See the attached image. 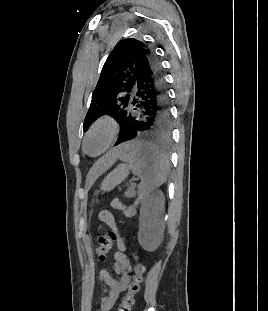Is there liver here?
I'll return each mask as SVG.
<instances>
[{
	"label": "liver",
	"instance_id": "1",
	"mask_svg": "<svg viewBox=\"0 0 268 311\" xmlns=\"http://www.w3.org/2000/svg\"><path fill=\"white\" fill-rule=\"evenodd\" d=\"M123 150V146H120L109 153H107L105 156L100 158L96 164L93 166V168L89 172V178L90 179H96L98 178L102 173H104L106 170H108L114 162L120 157L121 151Z\"/></svg>",
	"mask_w": 268,
	"mask_h": 311
}]
</instances>
